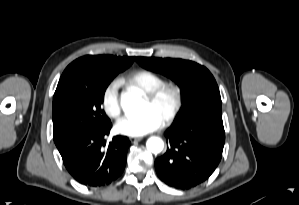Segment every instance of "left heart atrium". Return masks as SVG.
<instances>
[{
  "mask_svg": "<svg viewBox=\"0 0 299 205\" xmlns=\"http://www.w3.org/2000/svg\"><path fill=\"white\" fill-rule=\"evenodd\" d=\"M162 119L151 109L144 110L136 116L124 117L116 123L118 133L130 137H142L157 130Z\"/></svg>",
  "mask_w": 299,
  "mask_h": 205,
  "instance_id": "1",
  "label": "left heart atrium"
}]
</instances>
